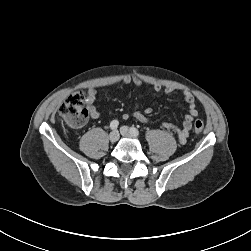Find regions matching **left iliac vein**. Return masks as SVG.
Here are the masks:
<instances>
[{
  "instance_id": "1",
  "label": "left iliac vein",
  "mask_w": 251,
  "mask_h": 251,
  "mask_svg": "<svg viewBox=\"0 0 251 251\" xmlns=\"http://www.w3.org/2000/svg\"><path fill=\"white\" fill-rule=\"evenodd\" d=\"M120 133H121V135L124 136V137H129V138H136V137H137V135L133 134V133L129 130V128L126 127V126H122V127L120 128Z\"/></svg>"
}]
</instances>
